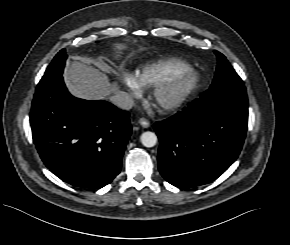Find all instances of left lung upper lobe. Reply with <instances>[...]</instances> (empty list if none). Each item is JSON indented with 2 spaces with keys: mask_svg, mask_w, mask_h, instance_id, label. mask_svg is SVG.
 I'll return each mask as SVG.
<instances>
[{
  "mask_svg": "<svg viewBox=\"0 0 290 245\" xmlns=\"http://www.w3.org/2000/svg\"><path fill=\"white\" fill-rule=\"evenodd\" d=\"M214 52L218 58V65L213 83L209 89L229 84H243L242 79L232 68L225 56L218 51Z\"/></svg>",
  "mask_w": 290,
  "mask_h": 245,
  "instance_id": "1",
  "label": "left lung upper lobe"
}]
</instances>
